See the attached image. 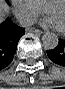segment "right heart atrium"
I'll list each match as a JSON object with an SVG mask.
<instances>
[{"instance_id": "obj_1", "label": "right heart atrium", "mask_w": 65, "mask_h": 89, "mask_svg": "<svg viewBox=\"0 0 65 89\" xmlns=\"http://www.w3.org/2000/svg\"><path fill=\"white\" fill-rule=\"evenodd\" d=\"M12 6L18 19L25 25L32 24L44 11L36 0H13Z\"/></svg>"}]
</instances>
